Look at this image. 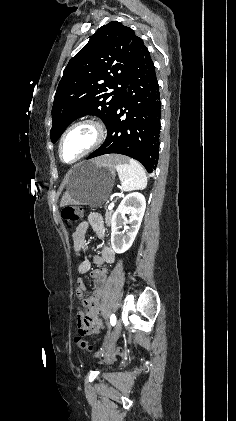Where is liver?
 Masks as SVG:
<instances>
[{
    "instance_id": "obj_1",
    "label": "liver",
    "mask_w": 236,
    "mask_h": 421,
    "mask_svg": "<svg viewBox=\"0 0 236 421\" xmlns=\"http://www.w3.org/2000/svg\"><path fill=\"white\" fill-rule=\"evenodd\" d=\"M124 160V156H120V154H104V156H100V158H95L94 162H99V164H105V166H114L117 162H121ZM72 200L70 198V194L68 192H64L60 206H64V204H71Z\"/></svg>"
}]
</instances>
